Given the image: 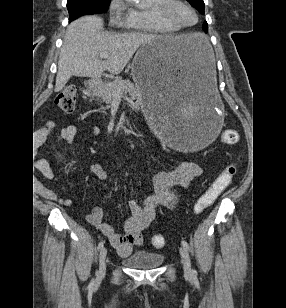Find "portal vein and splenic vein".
I'll return each instance as SVG.
<instances>
[{
    "mask_svg": "<svg viewBox=\"0 0 286 308\" xmlns=\"http://www.w3.org/2000/svg\"><path fill=\"white\" fill-rule=\"evenodd\" d=\"M109 57V53L108 52H102L100 53V58L102 59H107Z\"/></svg>",
    "mask_w": 286,
    "mask_h": 308,
    "instance_id": "obj_1",
    "label": "portal vein and splenic vein"
}]
</instances>
